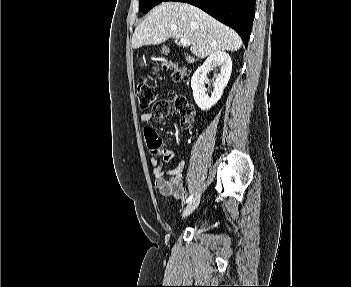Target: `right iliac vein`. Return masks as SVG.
Returning a JSON list of instances; mask_svg holds the SVG:
<instances>
[{
    "label": "right iliac vein",
    "instance_id": "obj_1",
    "mask_svg": "<svg viewBox=\"0 0 351 287\" xmlns=\"http://www.w3.org/2000/svg\"><path fill=\"white\" fill-rule=\"evenodd\" d=\"M200 197L197 196L193 199L184 209L182 216L187 217L189 216L199 205Z\"/></svg>",
    "mask_w": 351,
    "mask_h": 287
}]
</instances>
